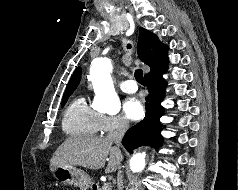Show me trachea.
<instances>
[{"label": "trachea", "mask_w": 238, "mask_h": 190, "mask_svg": "<svg viewBox=\"0 0 238 190\" xmlns=\"http://www.w3.org/2000/svg\"><path fill=\"white\" fill-rule=\"evenodd\" d=\"M128 49L131 48V46L128 44L127 45ZM135 79L137 82H139L141 85H145L144 77H143V72L141 69H137L134 73Z\"/></svg>", "instance_id": "obj_1"}]
</instances>
